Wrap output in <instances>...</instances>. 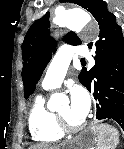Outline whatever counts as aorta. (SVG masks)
Returning <instances> with one entry per match:
<instances>
[{
	"mask_svg": "<svg viewBox=\"0 0 124 149\" xmlns=\"http://www.w3.org/2000/svg\"><path fill=\"white\" fill-rule=\"evenodd\" d=\"M53 22L59 27H68L71 30L80 31L91 22V17L82 9L57 11ZM57 101L58 95H54L49 101V106L54 107Z\"/></svg>",
	"mask_w": 124,
	"mask_h": 149,
	"instance_id": "obj_1",
	"label": "aorta"
}]
</instances>
